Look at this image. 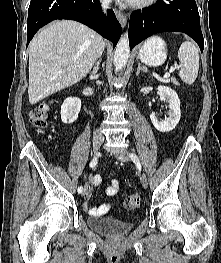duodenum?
I'll return each instance as SVG.
<instances>
[{"mask_svg": "<svg viewBox=\"0 0 221 263\" xmlns=\"http://www.w3.org/2000/svg\"><path fill=\"white\" fill-rule=\"evenodd\" d=\"M83 95L89 96V95H90V91H89V90H84V91H83Z\"/></svg>", "mask_w": 221, "mask_h": 263, "instance_id": "410a0bca", "label": "duodenum"}]
</instances>
